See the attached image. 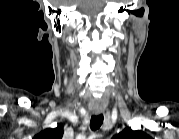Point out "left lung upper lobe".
Masks as SVG:
<instances>
[{
    "label": "left lung upper lobe",
    "mask_w": 179,
    "mask_h": 139,
    "mask_svg": "<svg viewBox=\"0 0 179 139\" xmlns=\"http://www.w3.org/2000/svg\"><path fill=\"white\" fill-rule=\"evenodd\" d=\"M147 135L140 131H133L131 128H126L122 132L116 135V139H142L146 137Z\"/></svg>",
    "instance_id": "left-lung-upper-lobe-1"
}]
</instances>
